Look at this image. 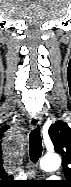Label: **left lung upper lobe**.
<instances>
[{
  "label": "left lung upper lobe",
  "instance_id": "obj_1",
  "mask_svg": "<svg viewBox=\"0 0 71 187\" xmlns=\"http://www.w3.org/2000/svg\"><path fill=\"white\" fill-rule=\"evenodd\" d=\"M49 136L56 152L63 158L65 176L71 178V128L63 121H57L49 128ZM70 183V180L66 181Z\"/></svg>",
  "mask_w": 71,
  "mask_h": 187
}]
</instances>
